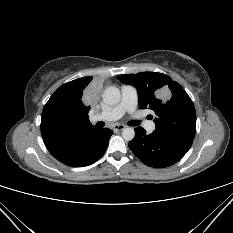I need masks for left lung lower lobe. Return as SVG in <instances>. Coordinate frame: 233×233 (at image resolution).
I'll list each match as a JSON object with an SVG mask.
<instances>
[{
  "label": "left lung lower lobe",
  "mask_w": 233,
  "mask_h": 233,
  "mask_svg": "<svg viewBox=\"0 0 233 233\" xmlns=\"http://www.w3.org/2000/svg\"><path fill=\"white\" fill-rule=\"evenodd\" d=\"M192 142L193 140L163 136L155 131L147 135L142 127H137L129 147L146 165L165 168L178 162L187 153Z\"/></svg>",
  "instance_id": "obj_1"
}]
</instances>
